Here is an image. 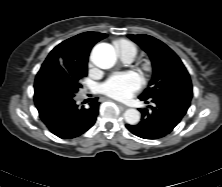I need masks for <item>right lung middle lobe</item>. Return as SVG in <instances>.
I'll return each instance as SVG.
<instances>
[{
    "label": "right lung middle lobe",
    "instance_id": "1",
    "mask_svg": "<svg viewBox=\"0 0 222 187\" xmlns=\"http://www.w3.org/2000/svg\"><path fill=\"white\" fill-rule=\"evenodd\" d=\"M59 65L68 74L74 85L80 88L82 86L80 79L87 76V63L60 60ZM45 67L47 66L43 64L40 70H43Z\"/></svg>",
    "mask_w": 222,
    "mask_h": 187
}]
</instances>
